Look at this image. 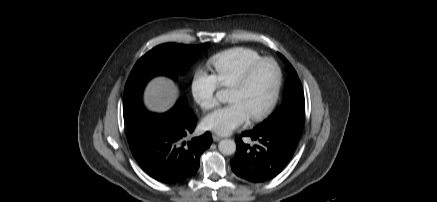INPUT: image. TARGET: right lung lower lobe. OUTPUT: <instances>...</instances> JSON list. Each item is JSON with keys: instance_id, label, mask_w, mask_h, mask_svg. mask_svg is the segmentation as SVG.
<instances>
[{"instance_id": "right-lung-lower-lobe-1", "label": "right lung lower lobe", "mask_w": 437, "mask_h": 202, "mask_svg": "<svg viewBox=\"0 0 437 202\" xmlns=\"http://www.w3.org/2000/svg\"><path fill=\"white\" fill-rule=\"evenodd\" d=\"M197 123L192 111L172 108L148 113L129 137V146L142 169L159 182L173 184L194 176L202 152L212 143L209 132L186 141Z\"/></svg>"}]
</instances>
